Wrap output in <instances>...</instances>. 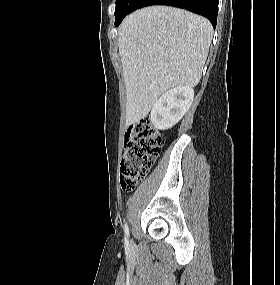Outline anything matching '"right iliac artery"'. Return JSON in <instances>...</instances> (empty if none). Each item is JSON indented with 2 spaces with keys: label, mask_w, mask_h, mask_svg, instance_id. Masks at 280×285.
Returning <instances> with one entry per match:
<instances>
[{
  "label": "right iliac artery",
  "mask_w": 280,
  "mask_h": 285,
  "mask_svg": "<svg viewBox=\"0 0 280 285\" xmlns=\"http://www.w3.org/2000/svg\"><path fill=\"white\" fill-rule=\"evenodd\" d=\"M124 233H125V236H126V237L129 236V229H128L127 224L124 225Z\"/></svg>",
  "instance_id": "obj_1"
}]
</instances>
